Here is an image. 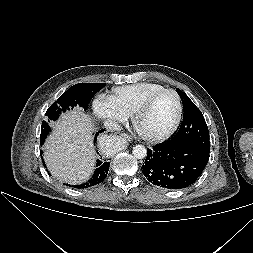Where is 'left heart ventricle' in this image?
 Segmentation results:
<instances>
[{
    "label": "left heart ventricle",
    "instance_id": "1",
    "mask_svg": "<svg viewBox=\"0 0 253 253\" xmlns=\"http://www.w3.org/2000/svg\"><path fill=\"white\" fill-rule=\"evenodd\" d=\"M177 114L173 94L165 93L158 97L138 122L139 130L147 135H159L173 123Z\"/></svg>",
    "mask_w": 253,
    "mask_h": 253
}]
</instances>
